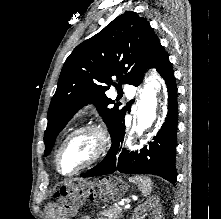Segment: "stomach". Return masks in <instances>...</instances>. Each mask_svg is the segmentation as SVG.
I'll list each match as a JSON object with an SVG mask.
<instances>
[{
  "label": "stomach",
  "instance_id": "0dacf381",
  "mask_svg": "<svg viewBox=\"0 0 221 219\" xmlns=\"http://www.w3.org/2000/svg\"><path fill=\"white\" fill-rule=\"evenodd\" d=\"M127 188V183L117 177L81 178L78 183L57 190V195L62 199H72V204H91V200L95 199H122Z\"/></svg>",
  "mask_w": 221,
  "mask_h": 219
}]
</instances>
